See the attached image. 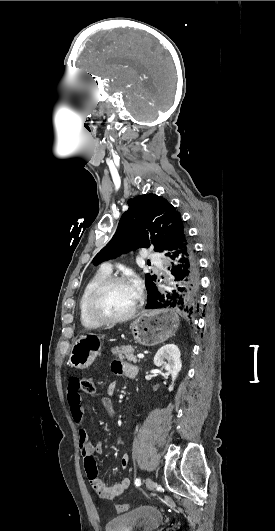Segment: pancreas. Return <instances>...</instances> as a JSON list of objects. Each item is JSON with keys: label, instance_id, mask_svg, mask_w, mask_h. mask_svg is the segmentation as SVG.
Instances as JSON below:
<instances>
[{"label": "pancreas", "instance_id": "1", "mask_svg": "<svg viewBox=\"0 0 275 531\" xmlns=\"http://www.w3.org/2000/svg\"><path fill=\"white\" fill-rule=\"evenodd\" d=\"M135 349L137 347H132V345H126V347H114V349H111L112 355H116L117 359H120V361H129V363H137V359L134 355Z\"/></svg>", "mask_w": 275, "mask_h": 531}]
</instances>
